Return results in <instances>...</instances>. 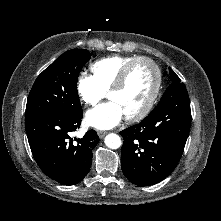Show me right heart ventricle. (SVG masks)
Here are the masks:
<instances>
[{
	"instance_id": "e07e8e85",
	"label": "right heart ventricle",
	"mask_w": 221,
	"mask_h": 221,
	"mask_svg": "<svg viewBox=\"0 0 221 221\" xmlns=\"http://www.w3.org/2000/svg\"><path fill=\"white\" fill-rule=\"evenodd\" d=\"M136 56L112 55L96 60L90 65L92 78L97 86L108 92L121 70Z\"/></svg>"
}]
</instances>
